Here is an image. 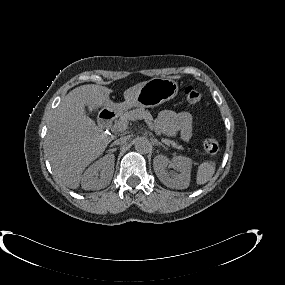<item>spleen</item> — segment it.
<instances>
[{
    "label": "spleen",
    "mask_w": 285,
    "mask_h": 285,
    "mask_svg": "<svg viewBox=\"0 0 285 285\" xmlns=\"http://www.w3.org/2000/svg\"><path fill=\"white\" fill-rule=\"evenodd\" d=\"M216 163L214 161H205L198 167L196 183L202 185L211 180L215 173Z\"/></svg>",
    "instance_id": "3e777b00"
}]
</instances>
